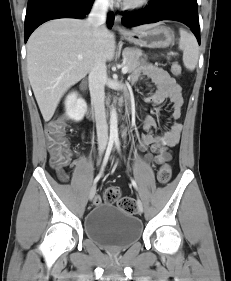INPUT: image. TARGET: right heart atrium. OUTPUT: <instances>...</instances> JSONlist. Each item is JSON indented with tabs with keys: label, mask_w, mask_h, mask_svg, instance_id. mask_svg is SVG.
Listing matches in <instances>:
<instances>
[{
	"label": "right heart atrium",
	"mask_w": 231,
	"mask_h": 281,
	"mask_svg": "<svg viewBox=\"0 0 231 281\" xmlns=\"http://www.w3.org/2000/svg\"><path fill=\"white\" fill-rule=\"evenodd\" d=\"M98 4L102 6H107L109 4V0H96Z\"/></svg>",
	"instance_id": "obj_1"
}]
</instances>
